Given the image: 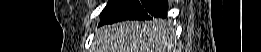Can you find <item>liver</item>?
<instances>
[{
	"instance_id": "obj_1",
	"label": "liver",
	"mask_w": 261,
	"mask_h": 52,
	"mask_svg": "<svg viewBox=\"0 0 261 52\" xmlns=\"http://www.w3.org/2000/svg\"><path fill=\"white\" fill-rule=\"evenodd\" d=\"M173 31L162 19L122 21L101 27L94 52H168Z\"/></svg>"
}]
</instances>
